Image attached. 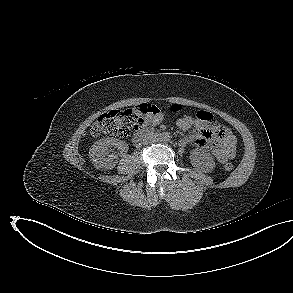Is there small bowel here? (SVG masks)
Instances as JSON below:
<instances>
[{"mask_svg": "<svg viewBox=\"0 0 293 293\" xmlns=\"http://www.w3.org/2000/svg\"><path fill=\"white\" fill-rule=\"evenodd\" d=\"M137 109L143 115V125L145 127L156 126L163 120V114L155 105L143 103ZM198 113L195 118L183 116L177 121V125L181 130L185 131L192 127L196 129V132L183 140L181 144L194 143L201 148L208 149L220 163L233 159L236 154L235 136L229 129L218 123L212 114L205 112L212 116L211 121H206L198 117Z\"/></svg>", "mask_w": 293, "mask_h": 293, "instance_id": "1", "label": "small bowel"}]
</instances>
